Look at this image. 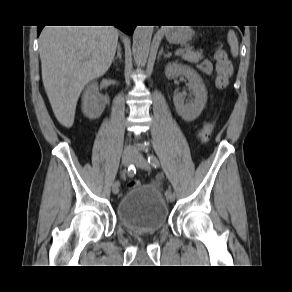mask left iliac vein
I'll list each match as a JSON object with an SVG mask.
<instances>
[{
    "mask_svg": "<svg viewBox=\"0 0 292 292\" xmlns=\"http://www.w3.org/2000/svg\"><path fill=\"white\" fill-rule=\"evenodd\" d=\"M133 163L144 170H150V164L148 161L141 155L140 153H135L133 156ZM166 198L169 202H173L175 200V195L171 191L168 195H166Z\"/></svg>",
    "mask_w": 292,
    "mask_h": 292,
    "instance_id": "4c4485c4",
    "label": "left iliac vein"
}]
</instances>
